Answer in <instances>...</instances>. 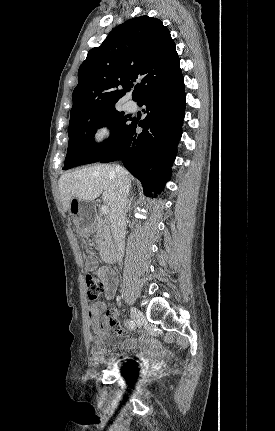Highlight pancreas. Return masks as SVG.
Segmentation results:
<instances>
[{"mask_svg":"<svg viewBox=\"0 0 275 431\" xmlns=\"http://www.w3.org/2000/svg\"><path fill=\"white\" fill-rule=\"evenodd\" d=\"M95 238L96 250H102L108 242L109 231L101 218H97L95 222Z\"/></svg>","mask_w":275,"mask_h":431,"instance_id":"pancreas-1","label":"pancreas"}]
</instances>
